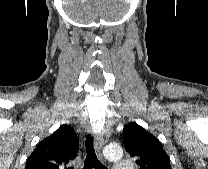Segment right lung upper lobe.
<instances>
[{
    "label": "right lung upper lobe",
    "mask_w": 208,
    "mask_h": 169,
    "mask_svg": "<svg viewBox=\"0 0 208 169\" xmlns=\"http://www.w3.org/2000/svg\"><path fill=\"white\" fill-rule=\"evenodd\" d=\"M78 147L79 141L73 128L64 124L37 145L25 169H72L67 165L76 158Z\"/></svg>",
    "instance_id": "right-lung-upper-lobe-1"
}]
</instances>
